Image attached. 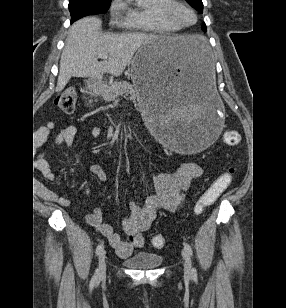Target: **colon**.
I'll return each instance as SVG.
<instances>
[{
  "instance_id": "1",
  "label": "colon",
  "mask_w": 286,
  "mask_h": 308,
  "mask_svg": "<svg viewBox=\"0 0 286 308\" xmlns=\"http://www.w3.org/2000/svg\"><path fill=\"white\" fill-rule=\"evenodd\" d=\"M77 101V91L74 87H68L60 92L54 100L55 106L65 113L74 111ZM222 139L228 146H237L241 137L236 130H227L223 133ZM235 175V168L230 166L220 173L210 186L205 190L194 206V212L201 214L206 207L213 204L220 195L231 185ZM152 245L155 248L165 246V238L162 235H155L152 238Z\"/></svg>"
}]
</instances>
